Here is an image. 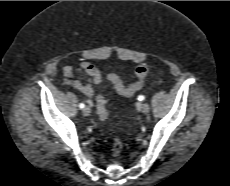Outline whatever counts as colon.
Wrapping results in <instances>:
<instances>
[{
  "label": "colon",
  "instance_id": "colon-1",
  "mask_svg": "<svg viewBox=\"0 0 230 186\" xmlns=\"http://www.w3.org/2000/svg\"><path fill=\"white\" fill-rule=\"evenodd\" d=\"M149 69H150L149 66L146 64L138 65L135 68L136 81L132 83V85H130L127 89L119 90L118 94L121 99L126 98L129 94L136 93L142 87L144 80L149 72ZM108 79L112 83V85L120 86V78L117 75L110 74L108 76ZM97 113L101 119H106L109 116L107 102L104 98H99L97 100ZM122 146H123L122 139L119 136L115 137L112 146V154L114 156L119 155Z\"/></svg>",
  "mask_w": 230,
  "mask_h": 186
}]
</instances>
